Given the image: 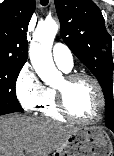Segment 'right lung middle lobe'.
Returning a JSON list of instances; mask_svg holds the SVG:
<instances>
[{"mask_svg":"<svg viewBox=\"0 0 114 156\" xmlns=\"http://www.w3.org/2000/svg\"><path fill=\"white\" fill-rule=\"evenodd\" d=\"M23 65L10 61H0V111H23L15 94L16 80Z\"/></svg>","mask_w":114,"mask_h":156,"instance_id":"1","label":"right lung middle lobe"}]
</instances>
